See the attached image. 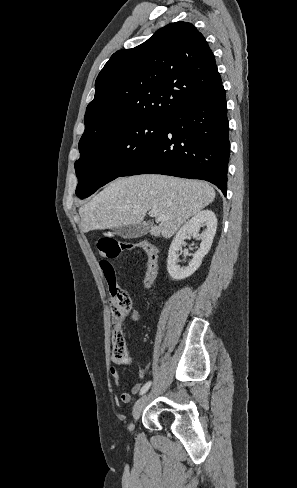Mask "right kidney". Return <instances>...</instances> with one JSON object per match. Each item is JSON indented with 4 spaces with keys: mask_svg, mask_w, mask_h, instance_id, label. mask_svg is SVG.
I'll use <instances>...</instances> for the list:
<instances>
[{
    "mask_svg": "<svg viewBox=\"0 0 297 488\" xmlns=\"http://www.w3.org/2000/svg\"><path fill=\"white\" fill-rule=\"evenodd\" d=\"M202 225H205L207 230L199 234ZM216 228L217 218L214 212L211 210H203L194 215L178 230L170 245L167 260V270L172 279H185L200 267L204 256L208 254L211 248ZM190 236L201 240L200 248L193 254V258L188 266L179 267L177 265L179 251L182 250V246H186L185 240Z\"/></svg>",
    "mask_w": 297,
    "mask_h": 488,
    "instance_id": "right-kidney-1",
    "label": "right kidney"
}]
</instances>
